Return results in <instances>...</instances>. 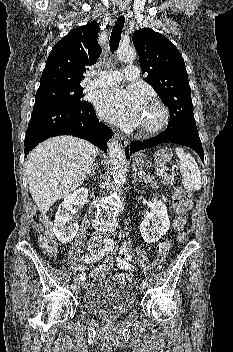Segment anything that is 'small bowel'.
<instances>
[{
  "label": "small bowel",
  "instance_id": "1",
  "mask_svg": "<svg viewBox=\"0 0 233 352\" xmlns=\"http://www.w3.org/2000/svg\"><path fill=\"white\" fill-rule=\"evenodd\" d=\"M117 265L122 270L133 271L134 267L131 263V257L126 246L121 247L120 257L117 259ZM80 273L76 276V281L82 285L86 283V275L83 273L85 270L84 265H79L78 267Z\"/></svg>",
  "mask_w": 233,
  "mask_h": 352
}]
</instances>
